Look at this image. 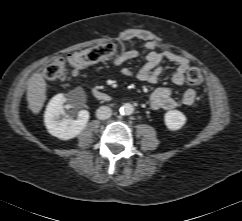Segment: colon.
Segmentation results:
<instances>
[{
  "instance_id": "1",
  "label": "colon",
  "mask_w": 242,
  "mask_h": 221,
  "mask_svg": "<svg viewBox=\"0 0 242 221\" xmlns=\"http://www.w3.org/2000/svg\"><path fill=\"white\" fill-rule=\"evenodd\" d=\"M123 51V46L115 43H103L92 48L70 53L66 60L62 57L52 60L44 69L43 75L48 81L64 80L69 73L77 74L87 66L106 61ZM67 64L71 70L67 68ZM187 82L198 86L203 82V72L195 65L188 67Z\"/></svg>"
}]
</instances>
